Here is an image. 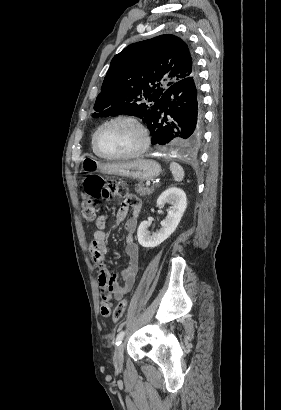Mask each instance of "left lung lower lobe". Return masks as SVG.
<instances>
[{"label": "left lung lower lobe", "instance_id": "left-lung-lower-lobe-1", "mask_svg": "<svg viewBox=\"0 0 281 410\" xmlns=\"http://www.w3.org/2000/svg\"><path fill=\"white\" fill-rule=\"evenodd\" d=\"M143 122L153 145L172 140L182 148L198 145L203 135V112L197 72L168 87Z\"/></svg>", "mask_w": 281, "mask_h": 410}]
</instances>
